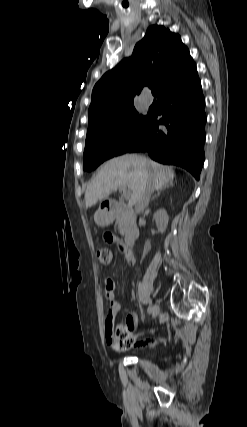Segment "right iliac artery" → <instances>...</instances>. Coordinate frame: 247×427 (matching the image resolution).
<instances>
[{"instance_id": "82829eb1", "label": "right iliac artery", "mask_w": 247, "mask_h": 427, "mask_svg": "<svg viewBox=\"0 0 247 427\" xmlns=\"http://www.w3.org/2000/svg\"><path fill=\"white\" fill-rule=\"evenodd\" d=\"M152 309H153V307L152 306H149L148 308H147V312L150 314V313H152Z\"/></svg>"}]
</instances>
